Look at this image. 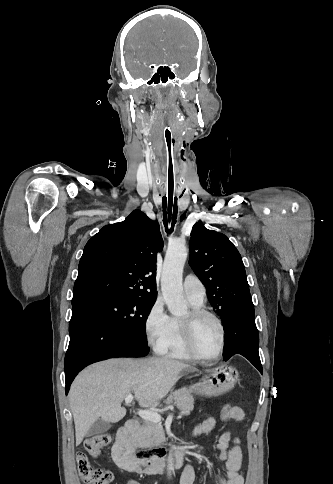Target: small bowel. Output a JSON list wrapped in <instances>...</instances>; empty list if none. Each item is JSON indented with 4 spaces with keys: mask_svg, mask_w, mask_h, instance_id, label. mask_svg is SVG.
Wrapping results in <instances>:
<instances>
[{
    "mask_svg": "<svg viewBox=\"0 0 333 484\" xmlns=\"http://www.w3.org/2000/svg\"><path fill=\"white\" fill-rule=\"evenodd\" d=\"M244 417L242 408L234 406L228 419L235 421H241ZM216 424V420L213 417H209L202 423L197 425L192 433V437L199 436L204 433L210 432ZM233 443V447L229 449V445ZM216 448L219 451V457L225 462L226 472L220 478L219 484H244V474L242 471V451L240 448V440L238 437H232L228 431L223 432L216 444ZM195 470L193 466H185L180 482L181 484H194ZM128 484H138L134 480H130Z\"/></svg>",
    "mask_w": 333,
    "mask_h": 484,
    "instance_id": "obj_1",
    "label": "small bowel"
}]
</instances>
